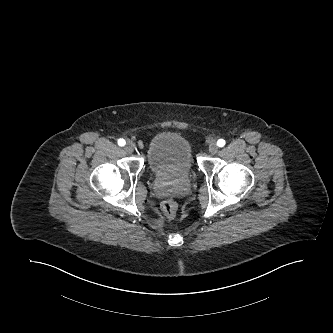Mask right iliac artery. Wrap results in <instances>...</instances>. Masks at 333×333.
Masks as SVG:
<instances>
[{
  "instance_id": "1",
  "label": "right iliac artery",
  "mask_w": 333,
  "mask_h": 333,
  "mask_svg": "<svg viewBox=\"0 0 333 333\" xmlns=\"http://www.w3.org/2000/svg\"><path fill=\"white\" fill-rule=\"evenodd\" d=\"M126 144L125 140L124 139H119L118 140V145L119 146H124Z\"/></svg>"
}]
</instances>
